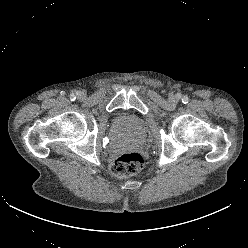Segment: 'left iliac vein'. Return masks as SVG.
Returning a JSON list of instances; mask_svg holds the SVG:
<instances>
[{
  "label": "left iliac vein",
  "instance_id": "4c4485c4",
  "mask_svg": "<svg viewBox=\"0 0 248 248\" xmlns=\"http://www.w3.org/2000/svg\"><path fill=\"white\" fill-rule=\"evenodd\" d=\"M169 100H170L171 102H175V101H176V97H175V96H171V97L169 98Z\"/></svg>",
  "mask_w": 248,
  "mask_h": 248
}]
</instances>
